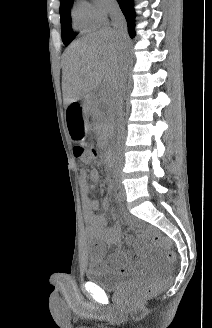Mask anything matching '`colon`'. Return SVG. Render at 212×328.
Wrapping results in <instances>:
<instances>
[{"label": "colon", "instance_id": "colon-1", "mask_svg": "<svg viewBox=\"0 0 212 328\" xmlns=\"http://www.w3.org/2000/svg\"><path fill=\"white\" fill-rule=\"evenodd\" d=\"M80 145H74V153L75 156L82 162L80 163V170L82 173H89L91 170V161L96 155V152L93 148L87 147L83 140H80ZM153 239L155 242H157L159 245H161L163 248L167 249V257L169 260L174 261L175 260V254L169 250V241L165 238L153 234ZM157 288V285L155 283H147L145 284L140 290H138L135 294L136 298H142L146 295L151 294L155 289Z\"/></svg>", "mask_w": 212, "mask_h": 328}]
</instances>
